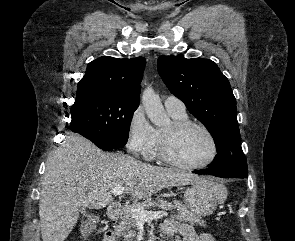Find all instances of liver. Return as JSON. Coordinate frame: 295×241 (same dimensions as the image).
Returning a JSON list of instances; mask_svg holds the SVG:
<instances>
[{
    "label": "liver",
    "mask_w": 295,
    "mask_h": 241,
    "mask_svg": "<svg viewBox=\"0 0 295 241\" xmlns=\"http://www.w3.org/2000/svg\"><path fill=\"white\" fill-rule=\"evenodd\" d=\"M205 178L158 167L115 153H105L89 140L68 134L47 159L39 201L43 241H64L79 218L80 208L102 209L118 186L132 197L150 198L171 186Z\"/></svg>",
    "instance_id": "6515ba94"
}]
</instances>
